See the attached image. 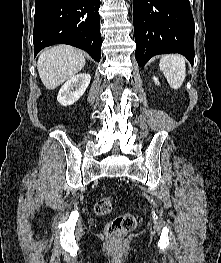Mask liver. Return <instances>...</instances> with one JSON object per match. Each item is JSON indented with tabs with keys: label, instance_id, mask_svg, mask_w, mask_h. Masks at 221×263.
<instances>
[{
	"label": "liver",
	"instance_id": "6515ba94",
	"mask_svg": "<svg viewBox=\"0 0 221 263\" xmlns=\"http://www.w3.org/2000/svg\"><path fill=\"white\" fill-rule=\"evenodd\" d=\"M85 62L84 55L78 49L56 45L41 52L37 69L44 86L53 90L80 72Z\"/></svg>",
	"mask_w": 221,
	"mask_h": 263
}]
</instances>
